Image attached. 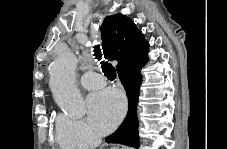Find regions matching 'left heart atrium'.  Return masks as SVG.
<instances>
[{
    "label": "left heart atrium",
    "instance_id": "39dd6f15",
    "mask_svg": "<svg viewBox=\"0 0 227 149\" xmlns=\"http://www.w3.org/2000/svg\"><path fill=\"white\" fill-rule=\"evenodd\" d=\"M89 120L100 133L110 132L125 112V98L115 89H106L88 98Z\"/></svg>",
    "mask_w": 227,
    "mask_h": 149
}]
</instances>
